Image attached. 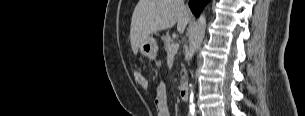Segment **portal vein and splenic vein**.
Here are the masks:
<instances>
[{
    "mask_svg": "<svg viewBox=\"0 0 305 116\" xmlns=\"http://www.w3.org/2000/svg\"><path fill=\"white\" fill-rule=\"evenodd\" d=\"M178 49H179L178 43L171 44L168 48V53H177Z\"/></svg>",
    "mask_w": 305,
    "mask_h": 116,
    "instance_id": "obj_1",
    "label": "portal vein and splenic vein"
}]
</instances>
